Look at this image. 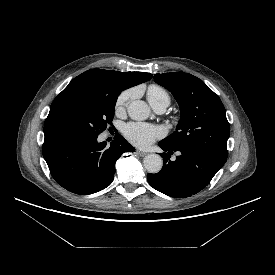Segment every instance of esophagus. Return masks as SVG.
<instances>
[{"instance_id": "obj_1", "label": "esophagus", "mask_w": 275, "mask_h": 275, "mask_svg": "<svg viewBox=\"0 0 275 275\" xmlns=\"http://www.w3.org/2000/svg\"><path fill=\"white\" fill-rule=\"evenodd\" d=\"M137 154H138L139 156H141V157H144V156H146V155H147V153H146V152L141 151V150H137Z\"/></svg>"}]
</instances>
